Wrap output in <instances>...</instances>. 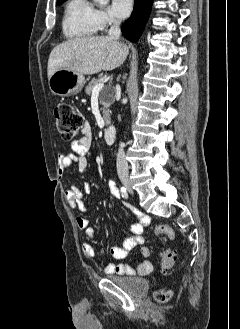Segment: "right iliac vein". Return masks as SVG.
<instances>
[{
    "instance_id": "obj_1",
    "label": "right iliac vein",
    "mask_w": 240,
    "mask_h": 329,
    "mask_svg": "<svg viewBox=\"0 0 240 329\" xmlns=\"http://www.w3.org/2000/svg\"><path fill=\"white\" fill-rule=\"evenodd\" d=\"M120 180L121 182L123 183V185L125 186V188L132 192V189H131V182L129 180V178L127 176H120Z\"/></svg>"
}]
</instances>
